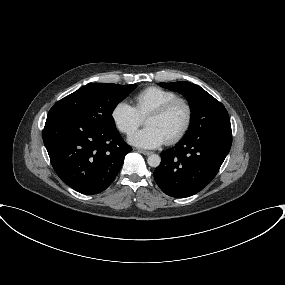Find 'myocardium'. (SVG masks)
<instances>
[{"label": "myocardium", "instance_id": "f54148a6", "mask_svg": "<svg viewBox=\"0 0 285 285\" xmlns=\"http://www.w3.org/2000/svg\"><path fill=\"white\" fill-rule=\"evenodd\" d=\"M179 104L185 108V112H186L185 120H184L181 128L175 134H173L171 137L166 139L167 144H174V143L178 142L188 132V130L192 124V120H193V107H192L190 101L186 98H183V97L173 98V99L167 101L166 103L160 105L159 107L153 109L146 116V117H148V116H163L166 113H168L174 106L179 105Z\"/></svg>", "mask_w": 285, "mask_h": 285}]
</instances>
